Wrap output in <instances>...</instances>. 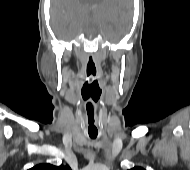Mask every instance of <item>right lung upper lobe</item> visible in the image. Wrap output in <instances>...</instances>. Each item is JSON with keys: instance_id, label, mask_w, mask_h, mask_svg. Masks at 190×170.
<instances>
[{"instance_id": "cb5924a9", "label": "right lung upper lobe", "mask_w": 190, "mask_h": 170, "mask_svg": "<svg viewBox=\"0 0 190 170\" xmlns=\"http://www.w3.org/2000/svg\"><path fill=\"white\" fill-rule=\"evenodd\" d=\"M29 170H71V169L68 165L54 166L52 164L46 163V164L36 165V166L30 168Z\"/></svg>"}]
</instances>
